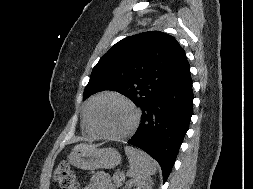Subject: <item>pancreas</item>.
<instances>
[{
	"label": "pancreas",
	"mask_w": 253,
	"mask_h": 189,
	"mask_svg": "<svg viewBox=\"0 0 253 189\" xmlns=\"http://www.w3.org/2000/svg\"><path fill=\"white\" fill-rule=\"evenodd\" d=\"M124 179H125L124 174L120 172H117L112 176V181L114 183V186L116 187L121 186Z\"/></svg>",
	"instance_id": "1"
}]
</instances>
